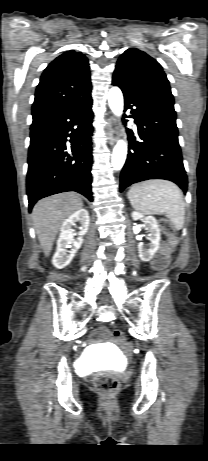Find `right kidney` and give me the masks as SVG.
I'll return each mask as SVG.
<instances>
[{
	"label": "right kidney",
	"instance_id": "right-kidney-1",
	"mask_svg": "<svg viewBox=\"0 0 208 461\" xmlns=\"http://www.w3.org/2000/svg\"><path fill=\"white\" fill-rule=\"evenodd\" d=\"M77 222L81 225L79 228L80 237L74 239V230L72 227L75 226ZM89 223V214L85 209H80L74 212L63 222L60 229L61 232L57 240V249L52 259V263L56 268L62 269L71 262L75 253L83 243L82 236L87 233Z\"/></svg>",
	"mask_w": 208,
	"mask_h": 461
}]
</instances>
